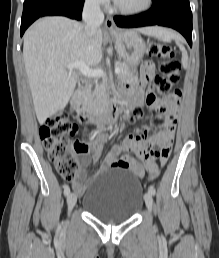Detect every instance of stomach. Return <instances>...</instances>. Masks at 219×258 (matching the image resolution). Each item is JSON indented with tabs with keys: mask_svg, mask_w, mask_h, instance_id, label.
I'll use <instances>...</instances> for the list:
<instances>
[{
	"mask_svg": "<svg viewBox=\"0 0 219 258\" xmlns=\"http://www.w3.org/2000/svg\"><path fill=\"white\" fill-rule=\"evenodd\" d=\"M111 37L114 39L120 57L130 66H135L146 53V45L135 30H120Z\"/></svg>",
	"mask_w": 219,
	"mask_h": 258,
	"instance_id": "1",
	"label": "stomach"
}]
</instances>
